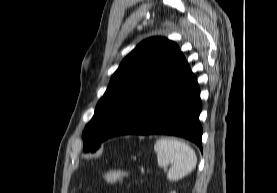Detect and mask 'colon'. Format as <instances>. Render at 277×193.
Here are the masks:
<instances>
[{"label":"colon","mask_w":277,"mask_h":193,"mask_svg":"<svg viewBox=\"0 0 277 193\" xmlns=\"http://www.w3.org/2000/svg\"><path fill=\"white\" fill-rule=\"evenodd\" d=\"M128 177V173L123 170H108L102 174V179L108 184H119L124 182Z\"/></svg>","instance_id":"obj_1"}]
</instances>
